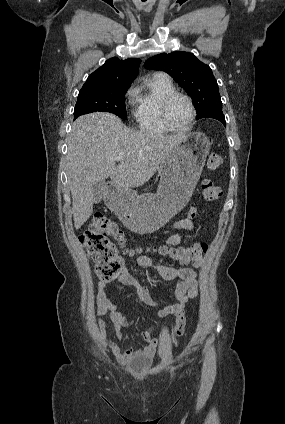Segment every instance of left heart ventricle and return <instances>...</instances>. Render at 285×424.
Instances as JSON below:
<instances>
[{
	"mask_svg": "<svg viewBox=\"0 0 285 424\" xmlns=\"http://www.w3.org/2000/svg\"><path fill=\"white\" fill-rule=\"evenodd\" d=\"M168 118L174 127H185L191 118V109L188 102L180 97L174 99L168 110Z\"/></svg>",
	"mask_w": 285,
	"mask_h": 424,
	"instance_id": "b2bd125f",
	"label": "left heart ventricle"
}]
</instances>
